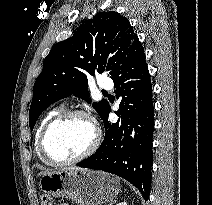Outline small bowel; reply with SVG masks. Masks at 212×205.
Listing matches in <instances>:
<instances>
[{
    "mask_svg": "<svg viewBox=\"0 0 212 205\" xmlns=\"http://www.w3.org/2000/svg\"><path fill=\"white\" fill-rule=\"evenodd\" d=\"M59 205H67V204H59Z\"/></svg>",
    "mask_w": 212,
    "mask_h": 205,
    "instance_id": "obj_1",
    "label": "small bowel"
}]
</instances>
